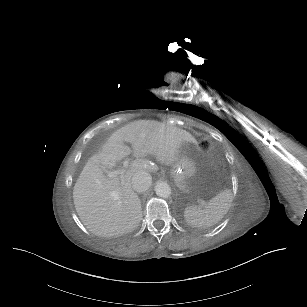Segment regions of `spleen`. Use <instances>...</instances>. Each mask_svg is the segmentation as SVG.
Here are the masks:
<instances>
[{
  "label": "spleen",
  "instance_id": "1",
  "mask_svg": "<svg viewBox=\"0 0 307 307\" xmlns=\"http://www.w3.org/2000/svg\"><path fill=\"white\" fill-rule=\"evenodd\" d=\"M231 203V192L223 190L211 198L205 206L200 203L188 205L183 216L192 226L210 227L218 223L227 214Z\"/></svg>",
  "mask_w": 307,
  "mask_h": 307
}]
</instances>
